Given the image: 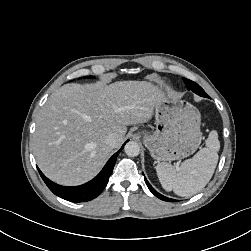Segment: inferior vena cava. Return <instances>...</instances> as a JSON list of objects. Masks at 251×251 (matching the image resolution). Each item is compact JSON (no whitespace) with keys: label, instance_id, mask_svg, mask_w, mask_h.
<instances>
[{"label":"inferior vena cava","instance_id":"1","mask_svg":"<svg viewBox=\"0 0 251 251\" xmlns=\"http://www.w3.org/2000/svg\"><path fill=\"white\" fill-rule=\"evenodd\" d=\"M117 135L115 133H111L107 136L105 142L107 145L114 147L116 145Z\"/></svg>","mask_w":251,"mask_h":251}]
</instances>
